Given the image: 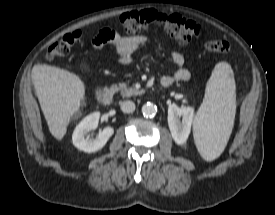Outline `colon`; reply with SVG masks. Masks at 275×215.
Listing matches in <instances>:
<instances>
[{
	"label": "colon",
	"instance_id": "obj_1",
	"mask_svg": "<svg viewBox=\"0 0 275 215\" xmlns=\"http://www.w3.org/2000/svg\"><path fill=\"white\" fill-rule=\"evenodd\" d=\"M120 21L127 32L133 33L158 26L181 43L198 38L201 32L199 25L193 21L179 15H165L154 10L125 13L121 16ZM80 37L81 32L79 31L64 35L48 48L46 59L52 61L66 56L71 46L78 42ZM205 48L211 52L224 54L229 51V44L224 40L214 39L207 41Z\"/></svg>",
	"mask_w": 275,
	"mask_h": 215
}]
</instances>
